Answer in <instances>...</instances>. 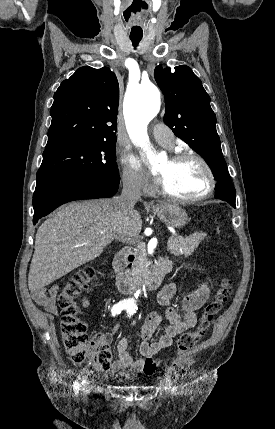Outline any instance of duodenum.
I'll return each instance as SVG.
<instances>
[{"label":"duodenum","mask_w":275,"mask_h":429,"mask_svg":"<svg viewBox=\"0 0 275 429\" xmlns=\"http://www.w3.org/2000/svg\"><path fill=\"white\" fill-rule=\"evenodd\" d=\"M129 261L130 252L127 249L119 251L113 260L116 286L120 292L125 294L132 293L137 288L147 290L157 289L164 276L171 269V264L167 260H160L152 267L148 275L143 278H136L130 273Z\"/></svg>","instance_id":"obj_1"}]
</instances>
